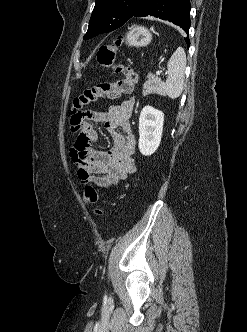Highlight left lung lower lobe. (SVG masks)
<instances>
[{"instance_id":"0a47b994","label":"left lung lower lobe","mask_w":247,"mask_h":332,"mask_svg":"<svg viewBox=\"0 0 247 332\" xmlns=\"http://www.w3.org/2000/svg\"><path fill=\"white\" fill-rule=\"evenodd\" d=\"M189 0H146L133 17L154 16L180 26L187 34L191 25ZM189 47V38H184Z\"/></svg>"}]
</instances>
